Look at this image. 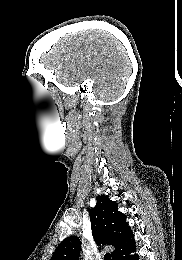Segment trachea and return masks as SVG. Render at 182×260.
Returning <instances> with one entry per match:
<instances>
[{
    "label": "trachea",
    "instance_id": "trachea-1",
    "mask_svg": "<svg viewBox=\"0 0 182 260\" xmlns=\"http://www.w3.org/2000/svg\"><path fill=\"white\" fill-rule=\"evenodd\" d=\"M104 260H111V255L109 253H106L104 255Z\"/></svg>",
    "mask_w": 182,
    "mask_h": 260
}]
</instances>
